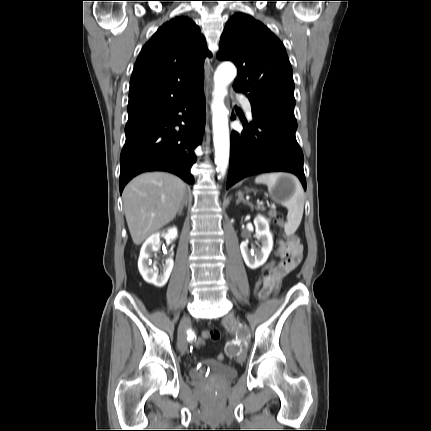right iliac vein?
Masks as SVG:
<instances>
[{
  "label": "right iliac vein",
  "instance_id": "63e3f726",
  "mask_svg": "<svg viewBox=\"0 0 431 431\" xmlns=\"http://www.w3.org/2000/svg\"><path fill=\"white\" fill-rule=\"evenodd\" d=\"M190 324V318L188 316H184L180 322L178 327V336H177V345L178 349L182 354H185L187 351V330Z\"/></svg>",
  "mask_w": 431,
  "mask_h": 431
}]
</instances>
